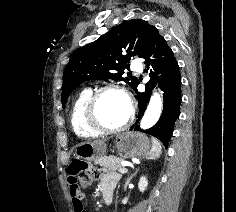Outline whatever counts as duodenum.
Listing matches in <instances>:
<instances>
[{
  "mask_svg": "<svg viewBox=\"0 0 236 212\" xmlns=\"http://www.w3.org/2000/svg\"><path fill=\"white\" fill-rule=\"evenodd\" d=\"M101 196L104 203H108L112 199V191H107L105 189H101Z\"/></svg>",
  "mask_w": 236,
  "mask_h": 212,
  "instance_id": "duodenum-1",
  "label": "duodenum"
}]
</instances>
